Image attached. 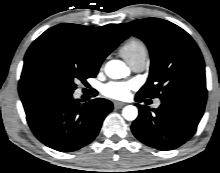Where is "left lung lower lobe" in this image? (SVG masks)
Returning <instances> with one entry per match:
<instances>
[{
    "label": "left lung lower lobe",
    "instance_id": "1",
    "mask_svg": "<svg viewBox=\"0 0 220 173\" xmlns=\"http://www.w3.org/2000/svg\"><path fill=\"white\" fill-rule=\"evenodd\" d=\"M144 98L136 95V101ZM157 109L139 106V115L131 129L142 143L159 150H172L195 133L203 115L205 104L182 99L161 100Z\"/></svg>",
    "mask_w": 220,
    "mask_h": 173
}]
</instances>
